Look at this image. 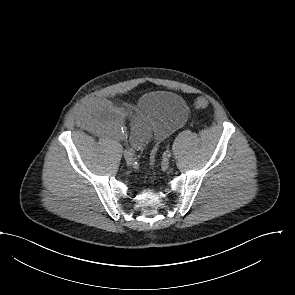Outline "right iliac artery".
<instances>
[{
    "mask_svg": "<svg viewBox=\"0 0 295 295\" xmlns=\"http://www.w3.org/2000/svg\"><path fill=\"white\" fill-rule=\"evenodd\" d=\"M123 132V131H122ZM124 152H127L129 153L130 155H133L134 154V150L131 149V148H127V150H125Z\"/></svg>",
    "mask_w": 295,
    "mask_h": 295,
    "instance_id": "82829eb1",
    "label": "right iliac artery"
}]
</instances>
